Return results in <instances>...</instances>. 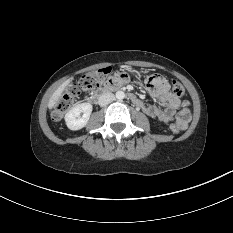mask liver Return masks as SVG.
<instances>
[{"label": "liver", "mask_w": 233, "mask_h": 233, "mask_svg": "<svg viewBox=\"0 0 233 233\" xmlns=\"http://www.w3.org/2000/svg\"><path fill=\"white\" fill-rule=\"evenodd\" d=\"M73 80V77L65 81L63 84H61L55 92L52 94L51 98L48 102V108L52 109L60 100L62 93L65 91L66 87L69 85V83Z\"/></svg>", "instance_id": "liver-1"}]
</instances>
